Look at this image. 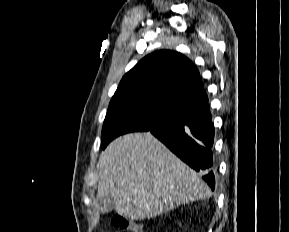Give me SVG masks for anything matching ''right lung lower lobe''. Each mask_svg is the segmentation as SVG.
<instances>
[{
  "mask_svg": "<svg viewBox=\"0 0 289 232\" xmlns=\"http://www.w3.org/2000/svg\"><path fill=\"white\" fill-rule=\"evenodd\" d=\"M149 131L191 168L204 174L203 179L214 190V125L208 104L184 110L176 119Z\"/></svg>",
  "mask_w": 289,
  "mask_h": 232,
  "instance_id": "right-lung-lower-lobe-1",
  "label": "right lung lower lobe"
}]
</instances>
